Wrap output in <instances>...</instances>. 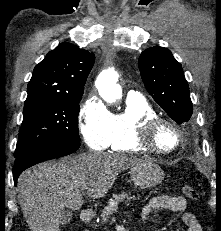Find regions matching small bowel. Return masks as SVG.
Instances as JSON below:
<instances>
[{"label": "small bowel", "instance_id": "c3829d8e", "mask_svg": "<svg viewBox=\"0 0 221 231\" xmlns=\"http://www.w3.org/2000/svg\"><path fill=\"white\" fill-rule=\"evenodd\" d=\"M187 202L182 196L160 195L155 196L143 207L141 220L144 222L154 210L167 209L173 212L183 213V222L186 231H202L201 225L196 217L186 211Z\"/></svg>", "mask_w": 221, "mask_h": 231}]
</instances>
